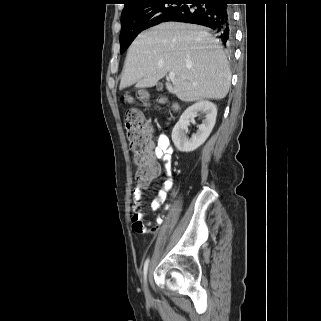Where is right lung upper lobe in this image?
<instances>
[{"label":"right lung upper lobe","instance_id":"obj_1","mask_svg":"<svg viewBox=\"0 0 321 321\" xmlns=\"http://www.w3.org/2000/svg\"><path fill=\"white\" fill-rule=\"evenodd\" d=\"M125 6L121 14V18L131 15L137 10H140L143 6L149 4L155 0H124Z\"/></svg>","mask_w":321,"mask_h":321}]
</instances>
